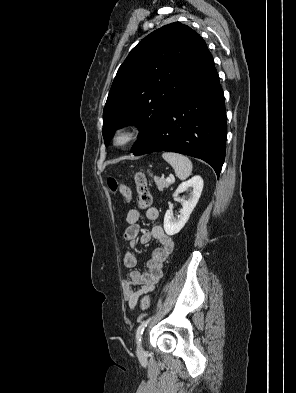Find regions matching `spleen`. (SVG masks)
Instances as JSON below:
<instances>
[{
	"label": "spleen",
	"instance_id": "1",
	"mask_svg": "<svg viewBox=\"0 0 296 393\" xmlns=\"http://www.w3.org/2000/svg\"><path fill=\"white\" fill-rule=\"evenodd\" d=\"M162 157L173 167L180 180H185L191 175L193 166L188 157L172 152L163 153Z\"/></svg>",
	"mask_w": 296,
	"mask_h": 393
}]
</instances>
